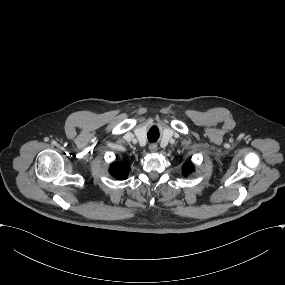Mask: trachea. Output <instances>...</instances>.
I'll return each instance as SVG.
<instances>
[{
    "instance_id": "1",
    "label": "trachea",
    "mask_w": 285,
    "mask_h": 285,
    "mask_svg": "<svg viewBox=\"0 0 285 285\" xmlns=\"http://www.w3.org/2000/svg\"><path fill=\"white\" fill-rule=\"evenodd\" d=\"M147 137H148V141L150 143L157 141L158 138H159V130H158V128L156 126H152L150 128V130L148 131Z\"/></svg>"
}]
</instances>
